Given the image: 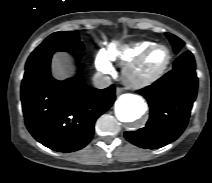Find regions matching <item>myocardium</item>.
Listing matches in <instances>:
<instances>
[{
    "instance_id": "obj_1",
    "label": "myocardium",
    "mask_w": 212,
    "mask_h": 183,
    "mask_svg": "<svg viewBox=\"0 0 212 183\" xmlns=\"http://www.w3.org/2000/svg\"><path fill=\"white\" fill-rule=\"evenodd\" d=\"M160 47L165 48L168 52V58H167L166 63L158 71L154 72L153 74L148 75L143 78H136L134 76V73L137 70V68L145 61V59L148 57V55L152 51H154L155 49L160 48ZM171 62H172L171 49L165 44L156 43V44L148 47L139 56H137L135 59H133L132 61H130L129 63H127L124 66L123 71H122L123 81L130 88H134V89L145 88L147 86L152 85L157 80H159L165 74V72L169 68Z\"/></svg>"
}]
</instances>
